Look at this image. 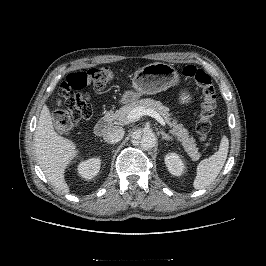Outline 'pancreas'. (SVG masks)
<instances>
[{"label": "pancreas", "instance_id": "1", "mask_svg": "<svg viewBox=\"0 0 266 266\" xmlns=\"http://www.w3.org/2000/svg\"><path fill=\"white\" fill-rule=\"evenodd\" d=\"M144 107L146 109H152L159 113L165 120V122L171 127V133L176 137L177 141L182 143L184 150L193 161H198L201 154L198 152L196 142L193 137L189 136L187 129L182 124H178L176 120L172 119L169 113V108L162 105L161 102L155 101L150 98L136 100L130 104H126L115 112H110L111 120L118 121L120 124L129 123L128 115L136 107Z\"/></svg>", "mask_w": 266, "mask_h": 266}]
</instances>
